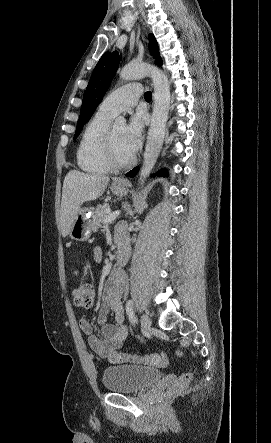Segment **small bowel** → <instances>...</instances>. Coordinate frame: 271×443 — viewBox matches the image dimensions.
Masks as SVG:
<instances>
[{
    "instance_id": "c3829d8e",
    "label": "small bowel",
    "mask_w": 271,
    "mask_h": 443,
    "mask_svg": "<svg viewBox=\"0 0 271 443\" xmlns=\"http://www.w3.org/2000/svg\"><path fill=\"white\" fill-rule=\"evenodd\" d=\"M100 257V250H96L95 258L99 260ZM123 291V275L120 271L115 270L104 287L103 300L96 320L100 334L95 333V327L91 321L82 319L79 323L83 333L88 336L90 348L103 358L107 357L110 352L119 349L128 335L122 305ZM110 311L114 314V323L107 322Z\"/></svg>"
}]
</instances>
